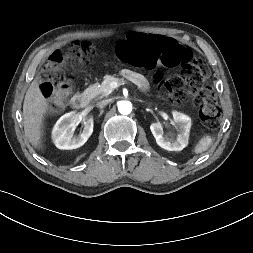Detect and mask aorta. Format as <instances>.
Instances as JSON below:
<instances>
[{
  "label": "aorta",
  "mask_w": 253,
  "mask_h": 253,
  "mask_svg": "<svg viewBox=\"0 0 253 253\" xmlns=\"http://www.w3.org/2000/svg\"><path fill=\"white\" fill-rule=\"evenodd\" d=\"M118 110L123 115H128L132 111V103L130 101H121L118 104Z\"/></svg>",
  "instance_id": "1"
}]
</instances>
